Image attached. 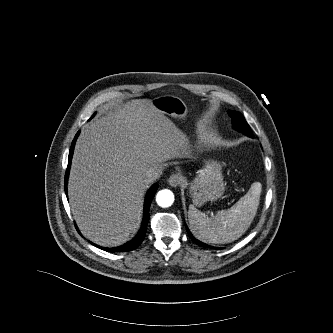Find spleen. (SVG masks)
<instances>
[{
  "label": "spleen",
  "instance_id": "obj_1",
  "mask_svg": "<svg viewBox=\"0 0 333 333\" xmlns=\"http://www.w3.org/2000/svg\"><path fill=\"white\" fill-rule=\"evenodd\" d=\"M260 193L261 184L254 182L247 194L230 209L217 211L211 217L190 205L188 218L192 233L205 243L224 244L237 240L248 230L256 215Z\"/></svg>",
  "mask_w": 333,
  "mask_h": 333
}]
</instances>
